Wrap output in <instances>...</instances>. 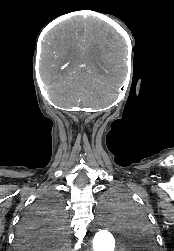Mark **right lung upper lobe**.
<instances>
[{
	"label": "right lung upper lobe",
	"instance_id": "obj_1",
	"mask_svg": "<svg viewBox=\"0 0 174 251\" xmlns=\"http://www.w3.org/2000/svg\"><path fill=\"white\" fill-rule=\"evenodd\" d=\"M53 246H47V247H38V248H32V249H40V250H46V249H52Z\"/></svg>",
	"mask_w": 174,
	"mask_h": 251
}]
</instances>
